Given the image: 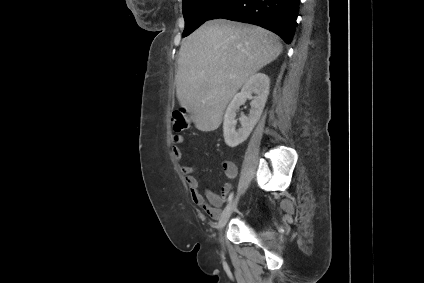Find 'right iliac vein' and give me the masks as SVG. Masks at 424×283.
I'll return each instance as SVG.
<instances>
[{"label":"right iliac vein","instance_id":"1","mask_svg":"<svg viewBox=\"0 0 424 283\" xmlns=\"http://www.w3.org/2000/svg\"><path fill=\"white\" fill-rule=\"evenodd\" d=\"M237 206V198L234 199L230 204L225 208L223 211L219 223H218V229L220 233H222L223 228L225 227L226 223L228 222L232 212L236 209ZM222 239V237H221Z\"/></svg>","mask_w":424,"mask_h":283}]
</instances>
